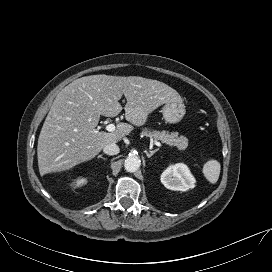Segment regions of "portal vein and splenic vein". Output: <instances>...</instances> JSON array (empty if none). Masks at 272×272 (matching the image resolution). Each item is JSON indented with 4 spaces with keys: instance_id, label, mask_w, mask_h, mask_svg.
<instances>
[{
    "instance_id": "18ae733b",
    "label": "portal vein and splenic vein",
    "mask_w": 272,
    "mask_h": 272,
    "mask_svg": "<svg viewBox=\"0 0 272 272\" xmlns=\"http://www.w3.org/2000/svg\"><path fill=\"white\" fill-rule=\"evenodd\" d=\"M115 129H116V127H115L114 124H108V125L106 126V130L109 131V132H114ZM154 144H155L156 146H158V147H161V146H162L161 143L158 142V141H154Z\"/></svg>"
}]
</instances>
